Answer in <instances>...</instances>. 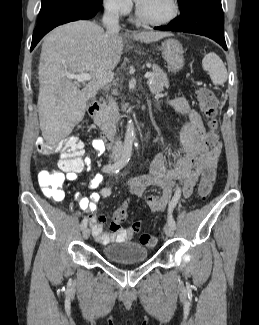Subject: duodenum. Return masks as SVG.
Returning a JSON list of instances; mask_svg holds the SVG:
<instances>
[{
    "label": "duodenum",
    "instance_id": "duodenum-1",
    "mask_svg": "<svg viewBox=\"0 0 259 325\" xmlns=\"http://www.w3.org/2000/svg\"><path fill=\"white\" fill-rule=\"evenodd\" d=\"M100 111H101V103L100 102H94V103L90 104V106L88 108L89 116L93 120L99 119ZM148 131H149V126H146V128L143 132V136H142V140L144 142L147 140ZM102 141H103L104 145L109 149H114L117 144V140H116L114 134L111 132H108V131L103 132ZM128 144H131V141L127 139L124 142V146L126 147Z\"/></svg>",
    "mask_w": 259,
    "mask_h": 325
}]
</instances>
